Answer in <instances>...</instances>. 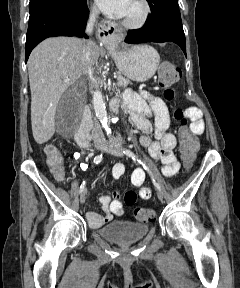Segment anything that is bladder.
Instances as JSON below:
<instances>
[{
  "label": "bladder",
  "instance_id": "1",
  "mask_svg": "<svg viewBox=\"0 0 240 288\" xmlns=\"http://www.w3.org/2000/svg\"><path fill=\"white\" fill-rule=\"evenodd\" d=\"M148 232L149 227L146 224L128 220H113L97 230L101 237L116 243L138 241Z\"/></svg>",
  "mask_w": 240,
  "mask_h": 288
}]
</instances>
